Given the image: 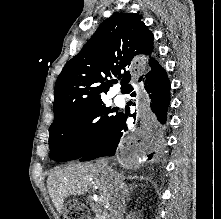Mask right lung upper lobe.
Listing matches in <instances>:
<instances>
[{"mask_svg":"<svg viewBox=\"0 0 221 219\" xmlns=\"http://www.w3.org/2000/svg\"><path fill=\"white\" fill-rule=\"evenodd\" d=\"M141 19L136 13H114L65 65L55 84L54 121L79 107L102 101L114 77L122 78L123 93L131 76L141 73L140 56L153 50V34Z\"/></svg>","mask_w":221,"mask_h":219,"instance_id":"obj_1","label":"right lung upper lobe"}]
</instances>
